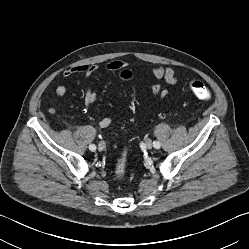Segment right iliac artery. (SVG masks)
<instances>
[{
  "instance_id": "82829eb1",
  "label": "right iliac artery",
  "mask_w": 249,
  "mask_h": 249,
  "mask_svg": "<svg viewBox=\"0 0 249 249\" xmlns=\"http://www.w3.org/2000/svg\"><path fill=\"white\" fill-rule=\"evenodd\" d=\"M89 149L91 151H95L96 150V146L94 144H91V145H89Z\"/></svg>"
}]
</instances>
